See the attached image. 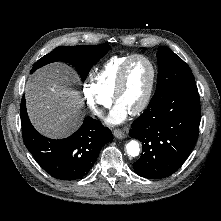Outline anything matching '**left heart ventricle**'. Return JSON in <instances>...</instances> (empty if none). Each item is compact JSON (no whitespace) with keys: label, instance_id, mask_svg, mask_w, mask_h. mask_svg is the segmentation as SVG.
<instances>
[{"label":"left heart ventricle","instance_id":"obj_1","mask_svg":"<svg viewBox=\"0 0 221 221\" xmlns=\"http://www.w3.org/2000/svg\"><path fill=\"white\" fill-rule=\"evenodd\" d=\"M151 69L143 59H135L129 66L126 84L117 104L132 112L142 102L148 90Z\"/></svg>","mask_w":221,"mask_h":221}]
</instances>
